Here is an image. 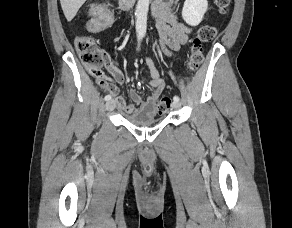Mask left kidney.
<instances>
[{"mask_svg": "<svg viewBox=\"0 0 292 228\" xmlns=\"http://www.w3.org/2000/svg\"><path fill=\"white\" fill-rule=\"evenodd\" d=\"M207 9V0H185L182 17L188 25L197 26L202 21Z\"/></svg>", "mask_w": 292, "mask_h": 228, "instance_id": "1", "label": "left kidney"}]
</instances>
